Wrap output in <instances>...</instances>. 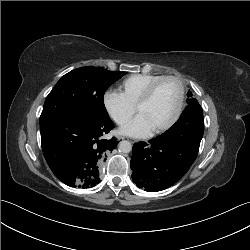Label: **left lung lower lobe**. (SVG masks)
<instances>
[{"instance_id": "0a47b994", "label": "left lung lower lobe", "mask_w": 250, "mask_h": 250, "mask_svg": "<svg viewBox=\"0 0 250 250\" xmlns=\"http://www.w3.org/2000/svg\"><path fill=\"white\" fill-rule=\"evenodd\" d=\"M203 132V110L191 107L162 135L135 143L130 163L133 182L149 192L175 184L195 161Z\"/></svg>"}]
</instances>
